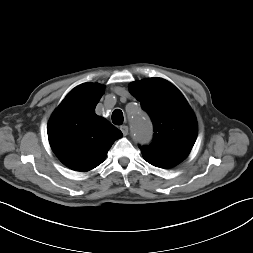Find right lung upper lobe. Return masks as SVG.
<instances>
[{
    "mask_svg": "<svg viewBox=\"0 0 253 253\" xmlns=\"http://www.w3.org/2000/svg\"><path fill=\"white\" fill-rule=\"evenodd\" d=\"M104 87L84 83L75 87L52 114L48 138L52 150L67 167L89 171L101 164L119 129L95 114Z\"/></svg>",
    "mask_w": 253,
    "mask_h": 253,
    "instance_id": "right-lung-upper-lobe-1",
    "label": "right lung upper lobe"
}]
</instances>
